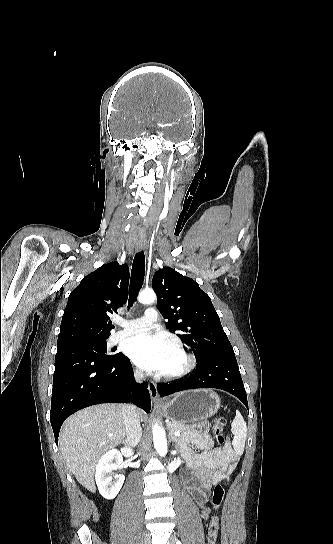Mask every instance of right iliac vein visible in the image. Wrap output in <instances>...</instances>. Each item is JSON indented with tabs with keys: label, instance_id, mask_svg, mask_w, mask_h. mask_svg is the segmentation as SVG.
<instances>
[{
	"label": "right iliac vein",
	"instance_id": "63e3f726",
	"mask_svg": "<svg viewBox=\"0 0 333 544\" xmlns=\"http://www.w3.org/2000/svg\"><path fill=\"white\" fill-rule=\"evenodd\" d=\"M150 543V535L149 534H146L144 536V538L142 539V543L141 544H149Z\"/></svg>",
	"mask_w": 333,
	"mask_h": 544
}]
</instances>
